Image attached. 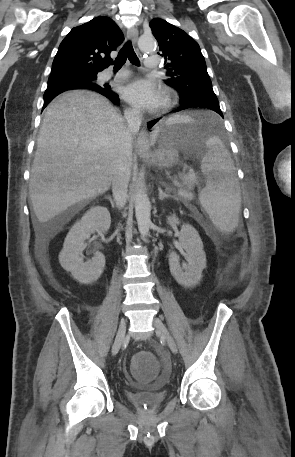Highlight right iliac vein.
Instances as JSON below:
<instances>
[{
    "instance_id": "obj_1",
    "label": "right iliac vein",
    "mask_w": 295,
    "mask_h": 457,
    "mask_svg": "<svg viewBox=\"0 0 295 457\" xmlns=\"http://www.w3.org/2000/svg\"><path fill=\"white\" fill-rule=\"evenodd\" d=\"M125 333H126V321L125 319H121L120 325L116 334V338L114 341V344L112 346V354L116 355L123 344V341L125 339Z\"/></svg>"
}]
</instances>
